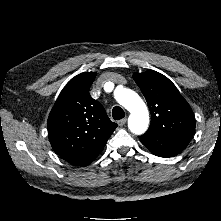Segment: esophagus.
I'll return each instance as SVG.
<instances>
[{
	"mask_svg": "<svg viewBox=\"0 0 221 221\" xmlns=\"http://www.w3.org/2000/svg\"><path fill=\"white\" fill-rule=\"evenodd\" d=\"M126 122H127V119L123 118V119L119 120L117 123H118L119 126L122 127V126H124L126 124Z\"/></svg>",
	"mask_w": 221,
	"mask_h": 221,
	"instance_id": "obj_1",
	"label": "esophagus"
}]
</instances>
